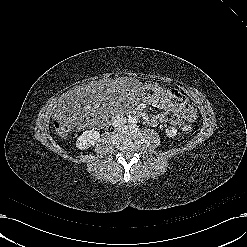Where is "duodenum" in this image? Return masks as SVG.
Listing matches in <instances>:
<instances>
[{"label": "duodenum", "instance_id": "1", "mask_svg": "<svg viewBox=\"0 0 247 247\" xmlns=\"http://www.w3.org/2000/svg\"><path fill=\"white\" fill-rule=\"evenodd\" d=\"M133 114H134V115H137V116H139V117H142L143 119H145V120H147V121L149 120V116L146 115L145 113H143V112L140 111V110L134 111Z\"/></svg>", "mask_w": 247, "mask_h": 247}]
</instances>
